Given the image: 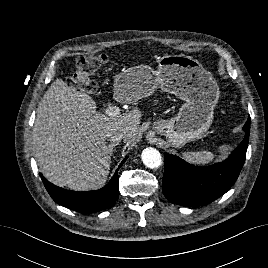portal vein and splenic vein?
<instances>
[{"instance_id": "portal-vein-and-splenic-vein-1", "label": "portal vein and splenic vein", "mask_w": 268, "mask_h": 268, "mask_svg": "<svg viewBox=\"0 0 268 268\" xmlns=\"http://www.w3.org/2000/svg\"><path fill=\"white\" fill-rule=\"evenodd\" d=\"M120 108L117 106H109L104 110L105 115L110 117H116L120 114Z\"/></svg>"}]
</instances>
